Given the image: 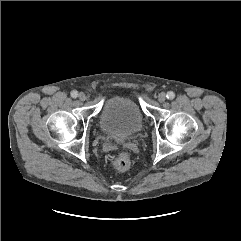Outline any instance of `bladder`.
Returning <instances> with one entry per match:
<instances>
[{
	"label": "bladder",
	"mask_w": 241,
	"mask_h": 241,
	"mask_svg": "<svg viewBox=\"0 0 241 241\" xmlns=\"http://www.w3.org/2000/svg\"><path fill=\"white\" fill-rule=\"evenodd\" d=\"M99 127L109 138L125 141L138 134L143 127V117L137 103L126 96H113L102 105Z\"/></svg>",
	"instance_id": "1"
}]
</instances>
